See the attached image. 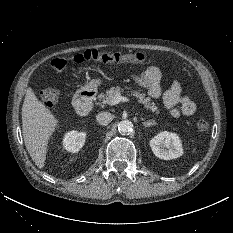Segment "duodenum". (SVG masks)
<instances>
[{"instance_id":"duodenum-1","label":"duodenum","mask_w":233,"mask_h":233,"mask_svg":"<svg viewBox=\"0 0 233 233\" xmlns=\"http://www.w3.org/2000/svg\"><path fill=\"white\" fill-rule=\"evenodd\" d=\"M94 98L95 93L92 90L84 89L78 92L74 98L75 111L81 116L89 114L93 107Z\"/></svg>"}]
</instances>
